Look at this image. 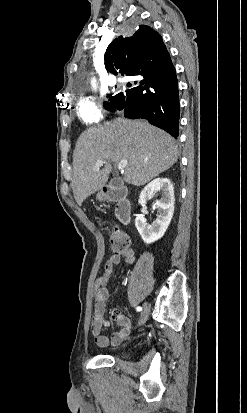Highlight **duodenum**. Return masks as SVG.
<instances>
[{
    "instance_id": "duodenum-1",
    "label": "duodenum",
    "mask_w": 247,
    "mask_h": 413,
    "mask_svg": "<svg viewBox=\"0 0 247 413\" xmlns=\"http://www.w3.org/2000/svg\"><path fill=\"white\" fill-rule=\"evenodd\" d=\"M106 200L117 203L116 216L122 224H129L130 216V202L124 189L118 187L106 186L104 188Z\"/></svg>"
}]
</instances>
